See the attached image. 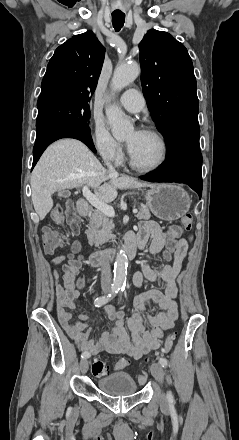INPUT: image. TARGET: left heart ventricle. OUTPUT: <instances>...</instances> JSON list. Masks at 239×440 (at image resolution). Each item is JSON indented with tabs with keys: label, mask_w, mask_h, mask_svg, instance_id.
Returning a JSON list of instances; mask_svg holds the SVG:
<instances>
[{
	"label": "left heart ventricle",
	"mask_w": 239,
	"mask_h": 440,
	"mask_svg": "<svg viewBox=\"0 0 239 440\" xmlns=\"http://www.w3.org/2000/svg\"><path fill=\"white\" fill-rule=\"evenodd\" d=\"M133 138L134 133L131 132L126 139L131 142ZM131 153L138 164L151 167L158 162L161 156V146L154 136L141 132L135 140Z\"/></svg>",
	"instance_id": "left-heart-ventricle-1"
}]
</instances>
